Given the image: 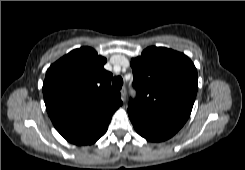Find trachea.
<instances>
[{"instance_id": "trachea-1", "label": "trachea", "mask_w": 245, "mask_h": 170, "mask_svg": "<svg viewBox=\"0 0 245 170\" xmlns=\"http://www.w3.org/2000/svg\"><path fill=\"white\" fill-rule=\"evenodd\" d=\"M112 85L116 90H120L123 85V79L121 76H116L112 80Z\"/></svg>"}]
</instances>
